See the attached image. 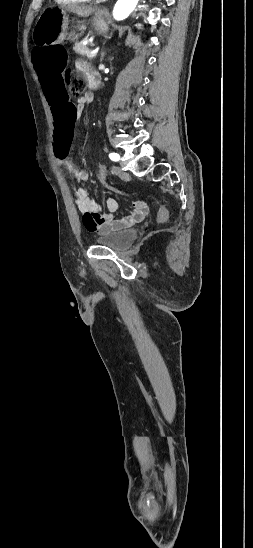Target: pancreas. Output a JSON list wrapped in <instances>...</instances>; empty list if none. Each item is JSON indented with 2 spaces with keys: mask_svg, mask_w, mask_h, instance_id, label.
I'll return each mask as SVG.
<instances>
[{
  "mask_svg": "<svg viewBox=\"0 0 253 548\" xmlns=\"http://www.w3.org/2000/svg\"><path fill=\"white\" fill-rule=\"evenodd\" d=\"M73 50L77 54L82 55V56H88L89 53H90V49L88 47L84 46L82 43L75 44V46L73 47Z\"/></svg>",
  "mask_w": 253,
  "mask_h": 548,
  "instance_id": "cf45deb5",
  "label": "pancreas"
}]
</instances>
